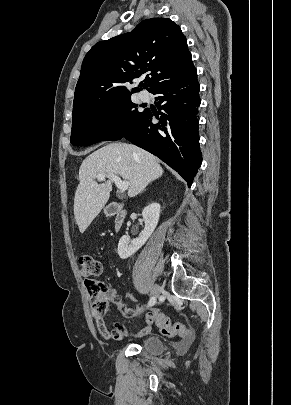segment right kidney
<instances>
[{"mask_svg":"<svg viewBox=\"0 0 291 405\" xmlns=\"http://www.w3.org/2000/svg\"><path fill=\"white\" fill-rule=\"evenodd\" d=\"M160 209L161 206L158 203H151L143 209L142 216L145 222V227L140 237L133 240L127 236H122L120 238L117 251L121 259H127L146 243L158 224Z\"/></svg>","mask_w":291,"mask_h":405,"instance_id":"obj_1","label":"right kidney"}]
</instances>
